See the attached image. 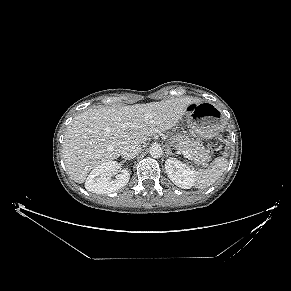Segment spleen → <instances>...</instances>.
<instances>
[{
  "label": "spleen",
  "instance_id": "1",
  "mask_svg": "<svg viewBox=\"0 0 291 291\" xmlns=\"http://www.w3.org/2000/svg\"><path fill=\"white\" fill-rule=\"evenodd\" d=\"M228 160L225 157H217L209 168L194 171L195 186L205 189L213 185L227 170Z\"/></svg>",
  "mask_w": 291,
  "mask_h": 291
}]
</instances>
